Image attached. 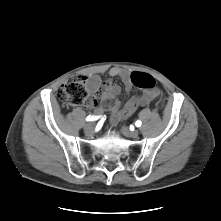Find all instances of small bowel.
I'll list each match as a JSON object with an SVG mask.
<instances>
[{
    "mask_svg": "<svg viewBox=\"0 0 221 221\" xmlns=\"http://www.w3.org/2000/svg\"><path fill=\"white\" fill-rule=\"evenodd\" d=\"M147 74L143 72H129L125 69L115 67L109 72L111 78L119 77L124 85L125 91L130 92L132 86L135 85L132 80L134 74ZM149 75V74H147ZM87 89L94 95H98L102 103H98L96 99H91L89 106L94 109L98 114L104 110L111 112L110 121L112 124L118 123L123 118L131 116L139 106H145L154 100L160 98L161 92L158 89H146L140 95L135 96L123 105L118 101L120 87L111 81L102 82L101 78L97 75H91L84 78Z\"/></svg>",
    "mask_w": 221,
    "mask_h": 221,
    "instance_id": "1",
    "label": "small bowel"
}]
</instances>
